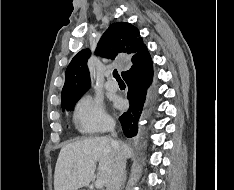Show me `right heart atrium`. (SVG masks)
Returning a JSON list of instances; mask_svg holds the SVG:
<instances>
[{"label": "right heart atrium", "mask_w": 234, "mask_h": 190, "mask_svg": "<svg viewBox=\"0 0 234 190\" xmlns=\"http://www.w3.org/2000/svg\"><path fill=\"white\" fill-rule=\"evenodd\" d=\"M73 121L79 131L88 134L103 133L112 126L101 101L90 95H84L76 102Z\"/></svg>", "instance_id": "right-heart-atrium-1"}]
</instances>
